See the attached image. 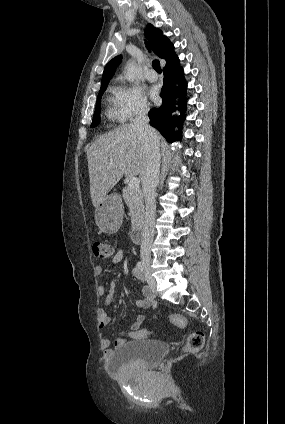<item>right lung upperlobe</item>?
Instances as JSON below:
<instances>
[{
    "instance_id": "right-lung-upper-lobe-1",
    "label": "right lung upper lobe",
    "mask_w": 285,
    "mask_h": 424,
    "mask_svg": "<svg viewBox=\"0 0 285 424\" xmlns=\"http://www.w3.org/2000/svg\"><path fill=\"white\" fill-rule=\"evenodd\" d=\"M145 35L149 39L151 46L157 56L163 58L166 61V66L170 65L178 60L177 55L174 52V46L169 39L162 35V32L155 28L152 24H147L145 29ZM122 56L119 55L113 58L105 67L101 87L108 85L110 79L114 75L115 69L120 64Z\"/></svg>"
}]
</instances>
